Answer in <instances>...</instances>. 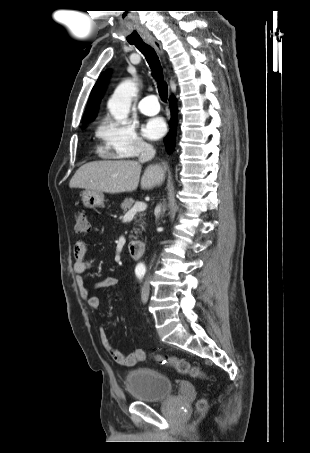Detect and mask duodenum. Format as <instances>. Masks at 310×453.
I'll use <instances>...</instances> for the list:
<instances>
[{"label":"duodenum","instance_id":"1","mask_svg":"<svg viewBox=\"0 0 310 453\" xmlns=\"http://www.w3.org/2000/svg\"><path fill=\"white\" fill-rule=\"evenodd\" d=\"M146 249V245L143 241L134 240L128 244V250L132 258L140 259Z\"/></svg>","mask_w":310,"mask_h":453}]
</instances>
